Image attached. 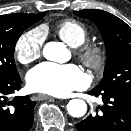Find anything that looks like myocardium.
<instances>
[{
  "mask_svg": "<svg viewBox=\"0 0 131 131\" xmlns=\"http://www.w3.org/2000/svg\"><path fill=\"white\" fill-rule=\"evenodd\" d=\"M79 60L90 70H101L107 61L105 48L96 43L82 44L77 48Z\"/></svg>",
  "mask_w": 131,
  "mask_h": 131,
  "instance_id": "f54148a6",
  "label": "myocardium"
}]
</instances>
